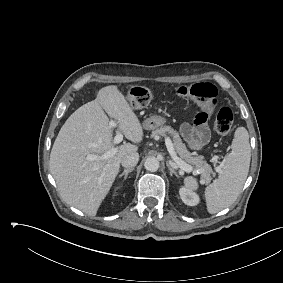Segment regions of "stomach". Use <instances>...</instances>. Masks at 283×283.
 <instances>
[{
	"instance_id": "0dacf381",
	"label": "stomach",
	"mask_w": 283,
	"mask_h": 283,
	"mask_svg": "<svg viewBox=\"0 0 283 283\" xmlns=\"http://www.w3.org/2000/svg\"><path fill=\"white\" fill-rule=\"evenodd\" d=\"M166 118L160 115H154L149 118H147L144 123L143 127L147 130H154L161 128L165 125Z\"/></svg>"
}]
</instances>
